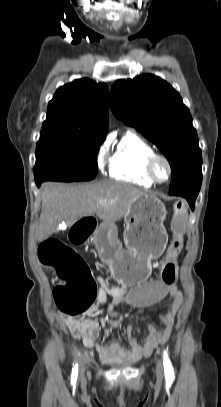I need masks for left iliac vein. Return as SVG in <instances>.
<instances>
[{
	"label": "left iliac vein",
	"mask_w": 221,
	"mask_h": 407,
	"mask_svg": "<svg viewBox=\"0 0 221 407\" xmlns=\"http://www.w3.org/2000/svg\"><path fill=\"white\" fill-rule=\"evenodd\" d=\"M156 374H157L158 378L163 377V366H162V362L160 360L157 362Z\"/></svg>",
	"instance_id": "left-iliac-vein-1"
}]
</instances>
